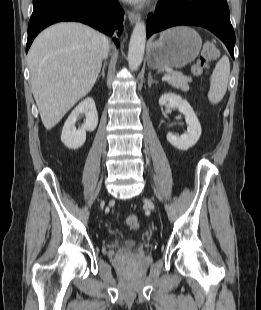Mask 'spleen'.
<instances>
[{
	"label": "spleen",
	"mask_w": 261,
	"mask_h": 310,
	"mask_svg": "<svg viewBox=\"0 0 261 310\" xmlns=\"http://www.w3.org/2000/svg\"><path fill=\"white\" fill-rule=\"evenodd\" d=\"M230 74V63L227 56H223L215 66L210 77V90L208 100L213 104H218L227 91Z\"/></svg>",
	"instance_id": "obj_1"
}]
</instances>
